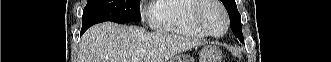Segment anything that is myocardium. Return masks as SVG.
Listing matches in <instances>:
<instances>
[{
	"label": "myocardium",
	"instance_id": "f54148a6",
	"mask_svg": "<svg viewBox=\"0 0 331 62\" xmlns=\"http://www.w3.org/2000/svg\"><path fill=\"white\" fill-rule=\"evenodd\" d=\"M195 2L196 3L194 5V7L192 9V13H191V20H192V23L194 24V26L199 31H201L203 34H205L206 36H210L213 38H220V37L224 36L229 29L230 21H229L228 13H227L226 9L224 8V6L222 5V3L218 0H195ZM209 6L217 7L220 10V12L222 13V16L224 19V30L220 34H215L212 31H210L202 19L203 11Z\"/></svg>",
	"mask_w": 331,
	"mask_h": 62
}]
</instances>
